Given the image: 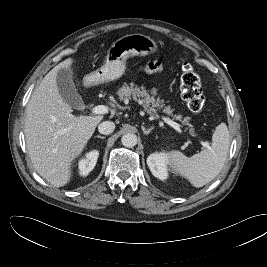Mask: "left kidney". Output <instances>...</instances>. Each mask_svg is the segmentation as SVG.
<instances>
[{"label": "left kidney", "mask_w": 267, "mask_h": 267, "mask_svg": "<svg viewBox=\"0 0 267 267\" xmlns=\"http://www.w3.org/2000/svg\"><path fill=\"white\" fill-rule=\"evenodd\" d=\"M168 158L165 153H153L147 158V165L152 174L160 180L168 178Z\"/></svg>", "instance_id": "left-kidney-1"}]
</instances>
